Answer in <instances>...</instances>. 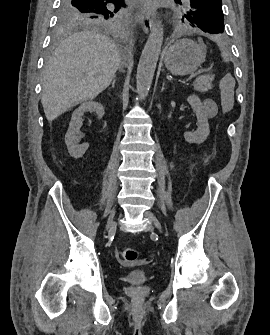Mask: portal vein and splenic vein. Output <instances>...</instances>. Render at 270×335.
<instances>
[{
	"label": "portal vein and splenic vein",
	"instance_id": "portal-vein-and-splenic-vein-1",
	"mask_svg": "<svg viewBox=\"0 0 270 335\" xmlns=\"http://www.w3.org/2000/svg\"><path fill=\"white\" fill-rule=\"evenodd\" d=\"M195 77H199V74H193V72H192V74L188 77L189 78V82H193V79H195ZM186 81H188V80H186Z\"/></svg>",
	"mask_w": 270,
	"mask_h": 335
}]
</instances>
